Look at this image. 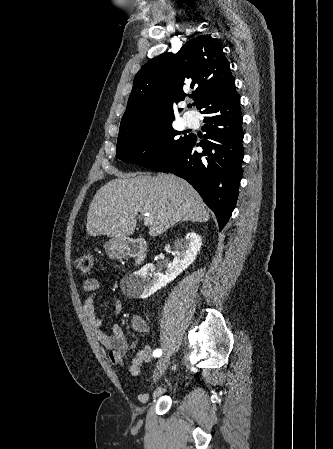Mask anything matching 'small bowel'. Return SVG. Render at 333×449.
Returning <instances> with one entry per match:
<instances>
[{
    "mask_svg": "<svg viewBox=\"0 0 333 449\" xmlns=\"http://www.w3.org/2000/svg\"><path fill=\"white\" fill-rule=\"evenodd\" d=\"M99 287V282L96 279L90 278L84 281L83 291L86 294V299L83 304V311L94 330L97 340L108 350L110 361L114 365L121 366L124 364L126 354L135 348L136 342L130 340L118 324H113L109 333L102 329V320L95 312V298ZM121 310L122 303L119 299H116L114 302V313L117 315ZM131 324L138 333L149 332L148 323L140 315H133ZM153 352L154 347L152 344H146L139 349L130 364V372L134 375L138 374L142 365L151 359Z\"/></svg>",
    "mask_w": 333,
    "mask_h": 449,
    "instance_id": "c3829d8e",
    "label": "small bowel"
}]
</instances>
